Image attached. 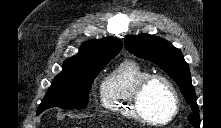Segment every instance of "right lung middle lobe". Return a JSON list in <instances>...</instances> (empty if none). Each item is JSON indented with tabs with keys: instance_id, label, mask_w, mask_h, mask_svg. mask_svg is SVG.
<instances>
[{
	"instance_id": "1",
	"label": "right lung middle lobe",
	"mask_w": 221,
	"mask_h": 128,
	"mask_svg": "<svg viewBox=\"0 0 221 128\" xmlns=\"http://www.w3.org/2000/svg\"><path fill=\"white\" fill-rule=\"evenodd\" d=\"M116 55L100 63L89 64L70 72L60 73L41 102L37 115L51 107L84 109L88 104V94L94 78Z\"/></svg>"
}]
</instances>
